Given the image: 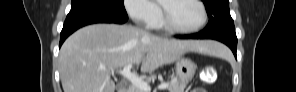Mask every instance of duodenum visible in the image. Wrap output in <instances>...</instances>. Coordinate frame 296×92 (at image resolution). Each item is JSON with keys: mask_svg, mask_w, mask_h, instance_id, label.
<instances>
[{"mask_svg": "<svg viewBox=\"0 0 296 92\" xmlns=\"http://www.w3.org/2000/svg\"><path fill=\"white\" fill-rule=\"evenodd\" d=\"M130 91H132L131 89H124V90H122V92H130Z\"/></svg>", "mask_w": 296, "mask_h": 92, "instance_id": "obj_1", "label": "duodenum"}]
</instances>
